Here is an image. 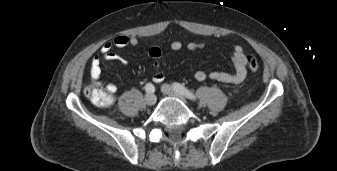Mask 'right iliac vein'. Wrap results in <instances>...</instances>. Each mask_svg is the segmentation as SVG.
<instances>
[{
    "label": "right iliac vein",
    "instance_id": "obj_1",
    "mask_svg": "<svg viewBox=\"0 0 337 171\" xmlns=\"http://www.w3.org/2000/svg\"><path fill=\"white\" fill-rule=\"evenodd\" d=\"M156 96L152 93H149L145 96V102L147 105L152 106L156 103Z\"/></svg>",
    "mask_w": 337,
    "mask_h": 171
}]
</instances>
